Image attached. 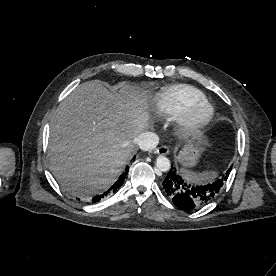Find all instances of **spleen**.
<instances>
[{"label": "spleen", "instance_id": "obj_1", "mask_svg": "<svg viewBox=\"0 0 276 276\" xmlns=\"http://www.w3.org/2000/svg\"><path fill=\"white\" fill-rule=\"evenodd\" d=\"M184 177L190 182L194 183H206L211 182L217 177V173L214 171H205L202 173H194L191 171L183 170Z\"/></svg>", "mask_w": 276, "mask_h": 276}]
</instances>
